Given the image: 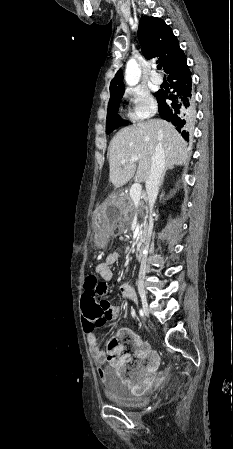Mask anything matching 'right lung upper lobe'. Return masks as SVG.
I'll return each instance as SVG.
<instances>
[{"mask_svg":"<svg viewBox=\"0 0 233 449\" xmlns=\"http://www.w3.org/2000/svg\"><path fill=\"white\" fill-rule=\"evenodd\" d=\"M139 41L147 59L159 57L165 72L181 66L186 57L179 47V42L172 29L160 18L144 16L138 29ZM124 93L122 72L118 70L110 83V97Z\"/></svg>","mask_w":233,"mask_h":449,"instance_id":"right-lung-upper-lobe-1","label":"right lung upper lobe"}]
</instances>
